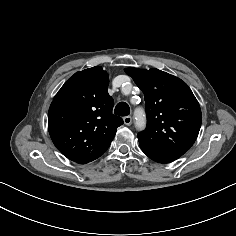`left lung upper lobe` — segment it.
<instances>
[{"label":"left lung upper lobe","mask_w":236,"mask_h":236,"mask_svg":"<svg viewBox=\"0 0 236 236\" xmlns=\"http://www.w3.org/2000/svg\"><path fill=\"white\" fill-rule=\"evenodd\" d=\"M143 91L147 127L138 134L142 146L186 152L201 127V109L188 85L161 70L125 68Z\"/></svg>","instance_id":"obj_1"}]
</instances>
